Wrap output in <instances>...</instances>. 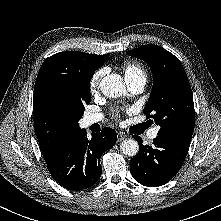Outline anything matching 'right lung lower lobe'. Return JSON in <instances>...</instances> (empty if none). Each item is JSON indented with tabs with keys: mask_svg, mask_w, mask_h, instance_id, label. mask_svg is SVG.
Returning <instances> with one entry per match:
<instances>
[{
	"mask_svg": "<svg viewBox=\"0 0 221 221\" xmlns=\"http://www.w3.org/2000/svg\"><path fill=\"white\" fill-rule=\"evenodd\" d=\"M114 129L103 128L89 140L84 129L78 130L52 156L46 160L54 180L70 190H82L93 186L100 178V157L116 143Z\"/></svg>",
	"mask_w": 221,
	"mask_h": 221,
	"instance_id": "1",
	"label": "right lung lower lobe"
}]
</instances>
